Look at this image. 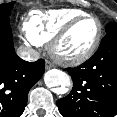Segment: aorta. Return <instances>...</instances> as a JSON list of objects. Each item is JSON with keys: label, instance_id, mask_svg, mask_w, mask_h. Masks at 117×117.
Instances as JSON below:
<instances>
[{"label": "aorta", "instance_id": "762f6f07", "mask_svg": "<svg viewBox=\"0 0 117 117\" xmlns=\"http://www.w3.org/2000/svg\"><path fill=\"white\" fill-rule=\"evenodd\" d=\"M44 82L47 87H56L60 89V91L71 85L70 76L59 69L47 71L44 75Z\"/></svg>", "mask_w": 117, "mask_h": 117}]
</instances>
